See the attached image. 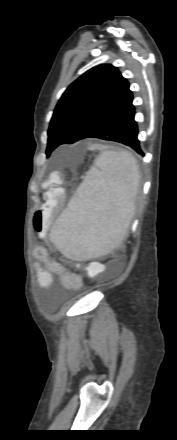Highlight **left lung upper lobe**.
<instances>
[{"label":"left lung upper lobe","mask_w":177,"mask_h":440,"mask_svg":"<svg viewBox=\"0 0 177 440\" xmlns=\"http://www.w3.org/2000/svg\"><path fill=\"white\" fill-rule=\"evenodd\" d=\"M132 99L128 81L113 65L88 70L66 89L54 110L47 157L59 145L82 139Z\"/></svg>","instance_id":"obj_1"}]
</instances>
